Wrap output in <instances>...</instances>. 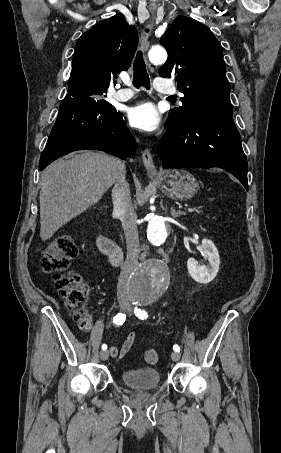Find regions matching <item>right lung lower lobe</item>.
Masks as SVG:
<instances>
[{
  "label": "right lung lower lobe",
  "instance_id": "1",
  "mask_svg": "<svg viewBox=\"0 0 281 453\" xmlns=\"http://www.w3.org/2000/svg\"><path fill=\"white\" fill-rule=\"evenodd\" d=\"M101 150L125 159L135 150V140L123 115L104 99H64L42 152L39 170L70 152Z\"/></svg>",
  "mask_w": 281,
  "mask_h": 453
}]
</instances>
